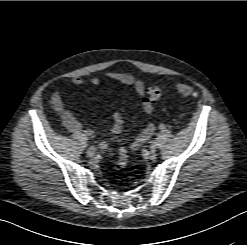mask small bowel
I'll list each match as a JSON object with an SVG mask.
<instances>
[{"label":"small bowel","instance_id":"small-bowel-1","mask_svg":"<svg viewBox=\"0 0 247 245\" xmlns=\"http://www.w3.org/2000/svg\"><path fill=\"white\" fill-rule=\"evenodd\" d=\"M105 77L115 80L125 86L132 87L136 94L138 95V100L136 106H140L146 114L153 113V104L149 98L145 96L147 88L143 81L136 78L134 75L127 72L119 71H109L105 73ZM101 82L98 77L84 78L81 76L75 77L71 80L73 86H80L85 83H89L93 86L99 85ZM53 110L61 119L63 125L72 133H83L89 137H93L96 133L85 127L71 111H69L63 102V98L59 92L53 93L50 99ZM114 121L113 126L111 127L110 134H118L121 132L123 127V117L119 111H114L112 114ZM155 127L152 123L146 125V127L139 133L135 140L130 145V151H136L142 144H144L153 134ZM100 148L103 151L108 150V143L103 141L100 143Z\"/></svg>","mask_w":247,"mask_h":245}]
</instances>
